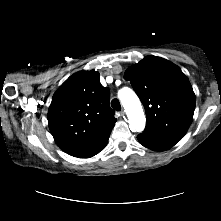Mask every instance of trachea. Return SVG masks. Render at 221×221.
Segmentation results:
<instances>
[{"instance_id": "obj_1", "label": "trachea", "mask_w": 221, "mask_h": 221, "mask_svg": "<svg viewBox=\"0 0 221 221\" xmlns=\"http://www.w3.org/2000/svg\"><path fill=\"white\" fill-rule=\"evenodd\" d=\"M111 106L116 110L120 111L121 110V105L118 99H113L111 102Z\"/></svg>"}]
</instances>
